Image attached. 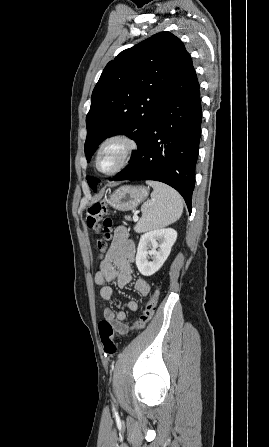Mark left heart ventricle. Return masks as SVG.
Instances as JSON below:
<instances>
[{
    "label": "left heart ventricle",
    "mask_w": 269,
    "mask_h": 447,
    "mask_svg": "<svg viewBox=\"0 0 269 447\" xmlns=\"http://www.w3.org/2000/svg\"><path fill=\"white\" fill-rule=\"evenodd\" d=\"M124 151V144L121 142H113L107 146L101 153L99 160V168L107 171L113 168L121 159Z\"/></svg>",
    "instance_id": "b2bd125f"
}]
</instances>
